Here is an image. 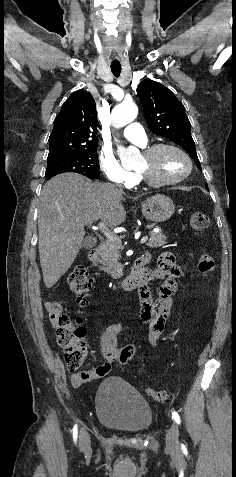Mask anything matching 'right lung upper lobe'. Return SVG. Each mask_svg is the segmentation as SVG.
<instances>
[{"label":"right lung upper lobe","instance_id":"right-lung-upper-lobe-1","mask_svg":"<svg viewBox=\"0 0 236 477\" xmlns=\"http://www.w3.org/2000/svg\"><path fill=\"white\" fill-rule=\"evenodd\" d=\"M97 113L89 92L76 91L63 104L49 137L48 160L75 153L81 148L98 145Z\"/></svg>","mask_w":236,"mask_h":477}]
</instances>
